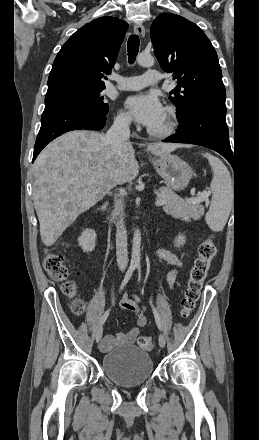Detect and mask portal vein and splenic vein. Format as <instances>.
<instances>
[{
    "instance_id": "portal-vein-and-splenic-vein-1",
    "label": "portal vein and splenic vein",
    "mask_w": 259,
    "mask_h": 440,
    "mask_svg": "<svg viewBox=\"0 0 259 440\" xmlns=\"http://www.w3.org/2000/svg\"><path fill=\"white\" fill-rule=\"evenodd\" d=\"M120 192L123 193L125 192L123 189H120ZM160 197V195H158ZM209 197V192H202L199 194V196H197L196 198H188L187 201L195 203H201L203 201H207ZM166 203L165 199H157L156 200V206H163Z\"/></svg>"
}]
</instances>
